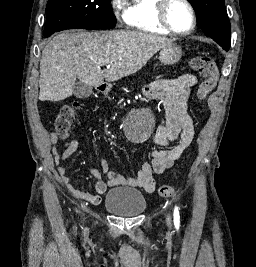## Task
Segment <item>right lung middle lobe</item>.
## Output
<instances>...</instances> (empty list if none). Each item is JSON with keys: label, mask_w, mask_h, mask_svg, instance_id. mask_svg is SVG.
Instances as JSON below:
<instances>
[{"label": "right lung middle lobe", "mask_w": 256, "mask_h": 267, "mask_svg": "<svg viewBox=\"0 0 256 267\" xmlns=\"http://www.w3.org/2000/svg\"><path fill=\"white\" fill-rule=\"evenodd\" d=\"M111 0H48L44 36L65 29H111L115 26Z\"/></svg>", "instance_id": "1"}]
</instances>
